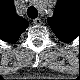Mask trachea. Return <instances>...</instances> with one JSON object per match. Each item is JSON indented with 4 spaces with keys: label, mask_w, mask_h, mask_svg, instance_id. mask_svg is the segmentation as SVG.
Returning a JSON list of instances; mask_svg holds the SVG:
<instances>
[{
    "label": "trachea",
    "mask_w": 80,
    "mask_h": 80,
    "mask_svg": "<svg viewBox=\"0 0 80 80\" xmlns=\"http://www.w3.org/2000/svg\"><path fill=\"white\" fill-rule=\"evenodd\" d=\"M27 15H28L29 18L35 19L38 16V11H37V9L34 6H30L27 9Z\"/></svg>",
    "instance_id": "trachea-1"
}]
</instances>
